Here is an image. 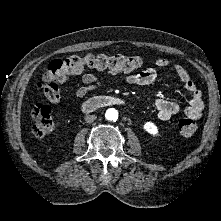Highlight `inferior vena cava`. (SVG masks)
I'll return each instance as SVG.
<instances>
[{"label": "inferior vena cava", "instance_id": "1", "mask_svg": "<svg viewBox=\"0 0 221 221\" xmlns=\"http://www.w3.org/2000/svg\"><path fill=\"white\" fill-rule=\"evenodd\" d=\"M96 118H97L96 115H88L85 117V121L86 123H92L96 120Z\"/></svg>", "mask_w": 221, "mask_h": 221}]
</instances>
